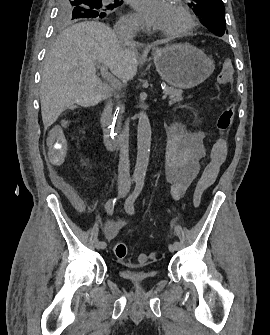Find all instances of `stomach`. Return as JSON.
<instances>
[{
    "instance_id": "stomach-1",
    "label": "stomach",
    "mask_w": 270,
    "mask_h": 335,
    "mask_svg": "<svg viewBox=\"0 0 270 335\" xmlns=\"http://www.w3.org/2000/svg\"><path fill=\"white\" fill-rule=\"evenodd\" d=\"M154 64L162 80L172 88H194L212 74L214 60L191 44L155 48Z\"/></svg>"
}]
</instances>
